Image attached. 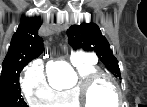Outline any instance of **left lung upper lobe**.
I'll list each match as a JSON object with an SVG mask.
<instances>
[{
  "label": "left lung upper lobe",
  "mask_w": 147,
  "mask_h": 107,
  "mask_svg": "<svg viewBox=\"0 0 147 107\" xmlns=\"http://www.w3.org/2000/svg\"><path fill=\"white\" fill-rule=\"evenodd\" d=\"M69 44L73 48H83L87 51H95L102 63L109 71L120 77L118 61L110 50L107 39L102 35L95 23H82L72 25L67 30Z\"/></svg>",
  "instance_id": "5c2ea615"
}]
</instances>
